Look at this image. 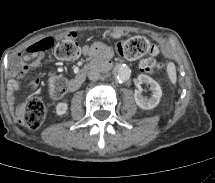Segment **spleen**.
Wrapping results in <instances>:
<instances>
[{
  "instance_id": "3e777b00",
  "label": "spleen",
  "mask_w": 215,
  "mask_h": 183,
  "mask_svg": "<svg viewBox=\"0 0 215 183\" xmlns=\"http://www.w3.org/2000/svg\"><path fill=\"white\" fill-rule=\"evenodd\" d=\"M167 71L172 84L175 85L177 79L175 65L173 63H170L167 67Z\"/></svg>"
}]
</instances>
